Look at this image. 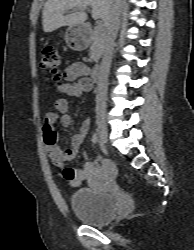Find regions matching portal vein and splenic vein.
<instances>
[{
  "mask_svg": "<svg viewBox=\"0 0 194 250\" xmlns=\"http://www.w3.org/2000/svg\"><path fill=\"white\" fill-rule=\"evenodd\" d=\"M96 28L101 29V28H103V25L98 24Z\"/></svg>",
  "mask_w": 194,
  "mask_h": 250,
  "instance_id": "portal-vein-and-splenic-vein-1",
  "label": "portal vein and splenic vein"
}]
</instances>
